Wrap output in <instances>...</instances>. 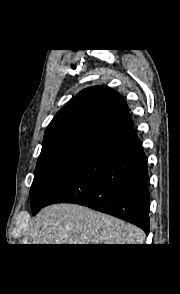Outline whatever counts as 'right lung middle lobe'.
<instances>
[{
	"mask_svg": "<svg viewBox=\"0 0 180 294\" xmlns=\"http://www.w3.org/2000/svg\"><path fill=\"white\" fill-rule=\"evenodd\" d=\"M98 144L93 140H71L41 150L30 190L32 212L45 205Z\"/></svg>",
	"mask_w": 180,
	"mask_h": 294,
	"instance_id": "right-lung-middle-lobe-1",
	"label": "right lung middle lobe"
}]
</instances>
